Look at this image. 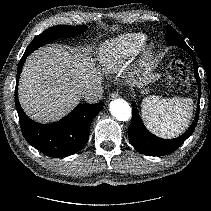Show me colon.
Instances as JSON below:
<instances>
[{
    "instance_id": "colon-1",
    "label": "colon",
    "mask_w": 211,
    "mask_h": 211,
    "mask_svg": "<svg viewBox=\"0 0 211 211\" xmlns=\"http://www.w3.org/2000/svg\"><path fill=\"white\" fill-rule=\"evenodd\" d=\"M167 81L176 90L186 92L189 89L188 65L184 57H175L167 71Z\"/></svg>"
}]
</instances>
